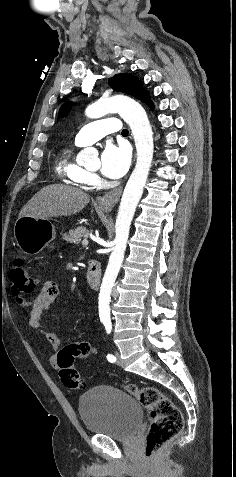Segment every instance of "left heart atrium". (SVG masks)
<instances>
[{"label":"left heart atrium","mask_w":236,"mask_h":477,"mask_svg":"<svg viewBox=\"0 0 236 477\" xmlns=\"http://www.w3.org/2000/svg\"><path fill=\"white\" fill-rule=\"evenodd\" d=\"M130 165V154L123 145L107 143L100 159L101 173L112 179L123 176Z\"/></svg>","instance_id":"39dd6f15"}]
</instances>
